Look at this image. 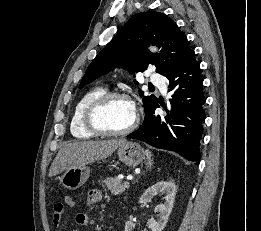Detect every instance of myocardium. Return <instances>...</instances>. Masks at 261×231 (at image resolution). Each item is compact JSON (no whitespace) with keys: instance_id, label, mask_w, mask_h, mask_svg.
Wrapping results in <instances>:
<instances>
[{"instance_id":"f54148a6","label":"myocardium","mask_w":261,"mask_h":231,"mask_svg":"<svg viewBox=\"0 0 261 231\" xmlns=\"http://www.w3.org/2000/svg\"><path fill=\"white\" fill-rule=\"evenodd\" d=\"M117 98H122L129 100L134 108H135V116L132 121V123L124 130L120 131H112L105 129L101 127L97 121V115L99 111L107 105L110 101L117 99ZM140 122V112L135 106L134 101L125 92L122 91H112V92H106L100 97H98L96 100H94L85 110L84 113V124L87 130L90 132L96 134V135H101V136H125L133 132L137 126L139 125Z\"/></svg>"}]
</instances>
